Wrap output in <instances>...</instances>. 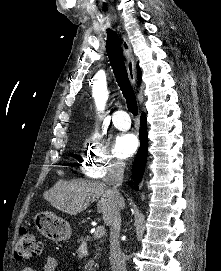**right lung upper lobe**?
<instances>
[{
    "instance_id": "1",
    "label": "right lung upper lobe",
    "mask_w": 221,
    "mask_h": 271,
    "mask_svg": "<svg viewBox=\"0 0 221 271\" xmlns=\"http://www.w3.org/2000/svg\"><path fill=\"white\" fill-rule=\"evenodd\" d=\"M137 75H138V84H140L141 81V69L139 66H137Z\"/></svg>"
}]
</instances>
